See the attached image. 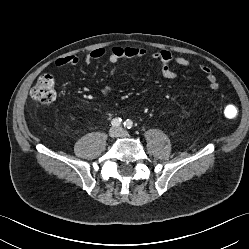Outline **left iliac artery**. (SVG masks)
<instances>
[{"instance_id":"left-iliac-artery-1","label":"left iliac artery","mask_w":249,"mask_h":249,"mask_svg":"<svg viewBox=\"0 0 249 249\" xmlns=\"http://www.w3.org/2000/svg\"><path fill=\"white\" fill-rule=\"evenodd\" d=\"M124 126L127 128V129H130L132 128L133 126V122L129 119H127L125 122H124Z\"/></svg>"}]
</instances>
